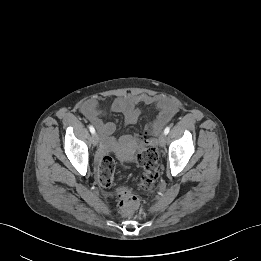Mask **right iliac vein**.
<instances>
[{
    "label": "right iliac vein",
    "instance_id": "right-iliac-vein-1",
    "mask_svg": "<svg viewBox=\"0 0 261 261\" xmlns=\"http://www.w3.org/2000/svg\"><path fill=\"white\" fill-rule=\"evenodd\" d=\"M92 143L94 146H97L99 143V136L97 133H94L91 137Z\"/></svg>",
    "mask_w": 261,
    "mask_h": 261
}]
</instances>
